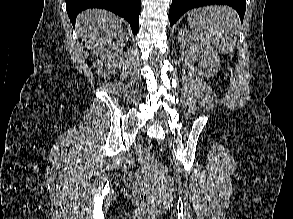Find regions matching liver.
<instances>
[{
  "mask_svg": "<svg viewBox=\"0 0 293 219\" xmlns=\"http://www.w3.org/2000/svg\"><path fill=\"white\" fill-rule=\"evenodd\" d=\"M76 26L85 47L96 55L121 51L128 40L122 21L104 10L90 9L81 13Z\"/></svg>",
  "mask_w": 293,
  "mask_h": 219,
  "instance_id": "obj_1",
  "label": "liver"
}]
</instances>
